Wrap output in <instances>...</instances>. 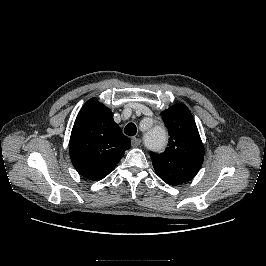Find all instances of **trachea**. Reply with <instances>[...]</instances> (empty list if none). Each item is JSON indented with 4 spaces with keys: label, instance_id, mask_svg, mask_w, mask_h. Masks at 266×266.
Masks as SVG:
<instances>
[{
    "label": "trachea",
    "instance_id": "3493384b",
    "mask_svg": "<svg viewBox=\"0 0 266 266\" xmlns=\"http://www.w3.org/2000/svg\"><path fill=\"white\" fill-rule=\"evenodd\" d=\"M124 132L128 136H134L137 132L136 125L134 123H129L126 125Z\"/></svg>",
    "mask_w": 266,
    "mask_h": 266
}]
</instances>
